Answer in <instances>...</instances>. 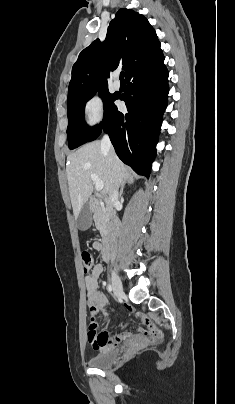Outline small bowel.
Listing matches in <instances>:
<instances>
[{"mask_svg": "<svg viewBox=\"0 0 235 404\" xmlns=\"http://www.w3.org/2000/svg\"><path fill=\"white\" fill-rule=\"evenodd\" d=\"M94 250L98 251L104 258L103 244L100 241H95L93 243ZM105 259V258H104ZM103 273V266L97 264L93 267L91 273L85 278V286L87 290L88 297V307L91 314L96 315L97 313L106 314V308L108 305V299L106 295L98 290V282ZM124 308L128 312H134L133 308L125 304ZM137 319L145 321L144 317L139 312H134ZM129 337L128 333L123 332L115 336H111L107 331L95 333L89 331L88 338L91 346L96 350H101L104 348H112L115 345L121 343Z\"/></svg>", "mask_w": 235, "mask_h": 404, "instance_id": "c3829d8e", "label": "small bowel"}]
</instances>
